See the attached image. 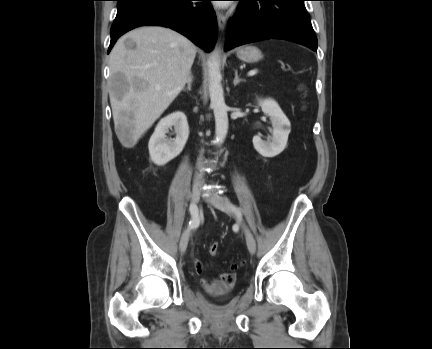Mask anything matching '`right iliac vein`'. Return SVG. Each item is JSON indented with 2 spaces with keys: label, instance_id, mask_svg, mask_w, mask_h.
Here are the masks:
<instances>
[{
  "label": "right iliac vein",
  "instance_id": "1",
  "mask_svg": "<svg viewBox=\"0 0 432 349\" xmlns=\"http://www.w3.org/2000/svg\"><path fill=\"white\" fill-rule=\"evenodd\" d=\"M200 196H201V190L199 188H194L192 190V194H191V203L193 205H196L199 200H200ZM197 223H198V211H197ZM188 241H189V228H186L182 234V237L180 239V243H179V249L182 253L185 252L187 245H188Z\"/></svg>",
  "mask_w": 432,
  "mask_h": 349
}]
</instances>
